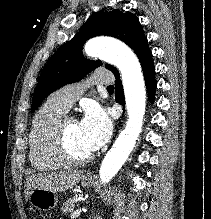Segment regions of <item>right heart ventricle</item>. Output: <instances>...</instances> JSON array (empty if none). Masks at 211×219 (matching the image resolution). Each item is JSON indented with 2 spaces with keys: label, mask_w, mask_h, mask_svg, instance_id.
<instances>
[{
  "label": "right heart ventricle",
  "mask_w": 211,
  "mask_h": 219,
  "mask_svg": "<svg viewBox=\"0 0 211 219\" xmlns=\"http://www.w3.org/2000/svg\"><path fill=\"white\" fill-rule=\"evenodd\" d=\"M66 111L49 99L32 119L28 136L29 159L38 171H53L68 165L58 157L52 142L53 129Z\"/></svg>",
  "instance_id": "e07e8e85"
}]
</instances>
